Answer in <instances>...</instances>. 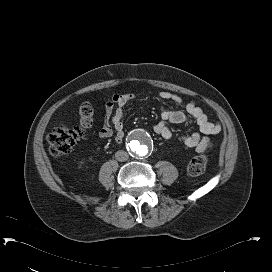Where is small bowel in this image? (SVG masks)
<instances>
[{"instance_id":"1","label":"small bowel","mask_w":272,"mask_h":272,"mask_svg":"<svg viewBox=\"0 0 272 272\" xmlns=\"http://www.w3.org/2000/svg\"><path fill=\"white\" fill-rule=\"evenodd\" d=\"M136 97L135 93L115 94L106 106L105 123L100 132L101 138H108L114 134L115 141L121 143L124 140L123 130V107ZM160 99L171 100L176 106L181 104V98L171 92H161ZM115 111L113 113V109ZM186 111L191 115L199 126V133L183 136V143L198 153L205 152L209 147V136L220 131V125L209 121L208 115L196 102L191 101L186 106ZM188 116L174 109L162 108L161 121L154 127V132L163 139H170L172 132L170 124L186 123Z\"/></svg>"}]
</instances>
